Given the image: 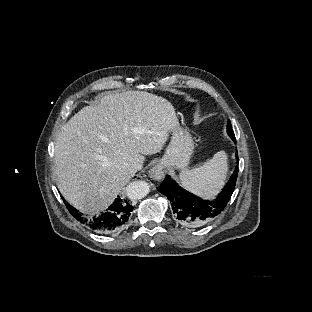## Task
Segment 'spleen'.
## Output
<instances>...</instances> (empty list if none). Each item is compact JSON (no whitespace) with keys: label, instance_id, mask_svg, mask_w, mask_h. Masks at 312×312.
<instances>
[{"label":"spleen","instance_id":"3e777b00","mask_svg":"<svg viewBox=\"0 0 312 312\" xmlns=\"http://www.w3.org/2000/svg\"><path fill=\"white\" fill-rule=\"evenodd\" d=\"M228 156L225 151L214 154L202 166L183 170L179 174L184 189L203 198L212 200L225 184L228 172Z\"/></svg>","mask_w":312,"mask_h":312}]
</instances>
